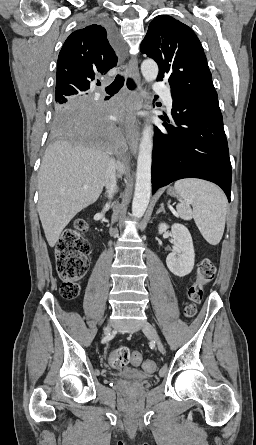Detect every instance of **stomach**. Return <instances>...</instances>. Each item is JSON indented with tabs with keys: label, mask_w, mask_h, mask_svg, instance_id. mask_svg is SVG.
I'll return each mask as SVG.
<instances>
[{
	"label": "stomach",
	"mask_w": 256,
	"mask_h": 445,
	"mask_svg": "<svg viewBox=\"0 0 256 445\" xmlns=\"http://www.w3.org/2000/svg\"><path fill=\"white\" fill-rule=\"evenodd\" d=\"M168 194L171 195V196H175V195L178 194V192L176 191L175 188L170 187V188L168 189Z\"/></svg>",
	"instance_id": "1"
}]
</instances>
